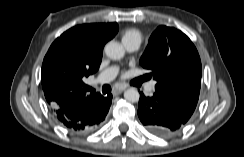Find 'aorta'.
I'll return each mask as SVG.
<instances>
[{
  "label": "aorta",
  "instance_id": "obj_1",
  "mask_svg": "<svg viewBox=\"0 0 244 157\" xmlns=\"http://www.w3.org/2000/svg\"><path fill=\"white\" fill-rule=\"evenodd\" d=\"M105 54L112 60H120L123 58L125 51L119 43L112 41L105 46ZM139 97L140 94L135 88H129L124 92V98L129 102H138Z\"/></svg>",
  "mask_w": 244,
  "mask_h": 157
}]
</instances>
